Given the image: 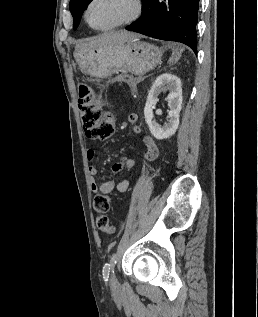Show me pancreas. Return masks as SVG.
Wrapping results in <instances>:
<instances>
[{
  "instance_id": "1",
  "label": "pancreas",
  "mask_w": 258,
  "mask_h": 317,
  "mask_svg": "<svg viewBox=\"0 0 258 317\" xmlns=\"http://www.w3.org/2000/svg\"><path fill=\"white\" fill-rule=\"evenodd\" d=\"M141 78L140 76H129L128 80H126V82H129V86H131V88H136V84L137 82H140ZM119 83H124V79H119Z\"/></svg>"
}]
</instances>
